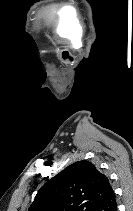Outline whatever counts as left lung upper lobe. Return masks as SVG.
Instances as JSON below:
<instances>
[{
	"label": "left lung upper lobe",
	"mask_w": 133,
	"mask_h": 211,
	"mask_svg": "<svg viewBox=\"0 0 133 211\" xmlns=\"http://www.w3.org/2000/svg\"><path fill=\"white\" fill-rule=\"evenodd\" d=\"M111 191L108 178L82 160L43 185L28 211H92Z\"/></svg>",
	"instance_id": "left-lung-upper-lobe-1"
}]
</instances>
